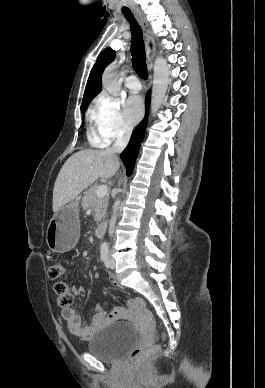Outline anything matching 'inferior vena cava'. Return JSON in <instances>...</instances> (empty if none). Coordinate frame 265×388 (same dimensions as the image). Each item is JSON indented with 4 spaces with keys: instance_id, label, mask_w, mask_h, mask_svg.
<instances>
[{
    "instance_id": "1",
    "label": "inferior vena cava",
    "mask_w": 265,
    "mask_h": 388,
    "mask_svg": "<svg viewBox=\"0 0 265 388\" xmlns=\"http://www.w3.org/2000/svg\"><path fill=\"white\" fill-rule=\"evenodd\" d=\"M132 130V126H126L122 136H118L115 140V144L110 148L111 152H114V154H121V152H123L131 138ZM115 224L116 216H112L109 224V236H113Z\"/></svg>"
}]
</instances>
